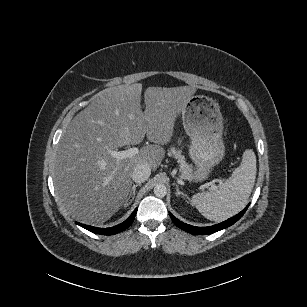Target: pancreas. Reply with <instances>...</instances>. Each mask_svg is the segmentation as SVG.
Returning <instances> with one entry per match:
<instances>
[{
  "label": "pancreas",
  "mask_w": 307,
  "mask_h": 307,
  "mask_svg": "<svg viewBox=\"0 0 307 307\" xmlns=\"http://www.w3.org/2000/svg\"><path fill=\"white\" fill-rule=\"evenodd\" d=\"M167 152L169 156H172L177 160L179 164V172L178 176L180 179H185L186 181L192 182L196 181L197 178L195 176L196 167L192 165L184 155L181 154L180 149H176L174 146L168 147Z\"/></svg>",
  "instance_id": "cf45deb5"
}]
</instances>
